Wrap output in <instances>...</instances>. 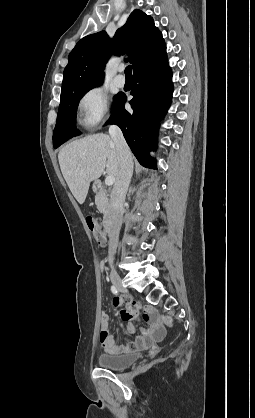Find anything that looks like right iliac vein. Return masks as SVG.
<instances>
[{
	"label": "right iliac vein",
	"mask_w": 255,
	"mask_h": 418,
	"mask_svg": "<svg viewBox=\"0 0 255 418\" xmlns=\"http://www.w3.org/2000/svg\"><path fill=\"white\" fill-rule=\"evenodd\" d=\"M110 278H111V281H112L113 285L117 289H119L121 291H127V289L124 288V286H123V282H122L121 277L119 276V274L115 270L111 271Z\"/></svg>",
	"instance_id": "1"
}]
</instances>
